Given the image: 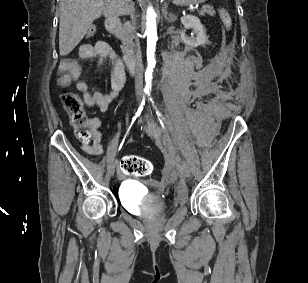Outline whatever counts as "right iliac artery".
<instances>
[{
	"instance_id": "82829eb1",
	"label": "right iliac artery",
	"mask_w": 308,
	"mask_h": 283,
	"mask_svg": "<svg viewBox=\"0 0 308 283\" xmlns=\"http://www.w3.org/2000/svg\"><path fill=\"white\" fill-rule=\"evenodd\" d=\"M145 104V101L143 100L142 102H141V105H140V107L138 108V110H137V112H136V115L133 117V119H132V123H131V125H130V127L132 126V124L134 123V121L136 120V118L138 117V116H140V114H141V112H142V110H143V105ZM126 137V136H125ZM125 137H124V139L122 140V142H121V144H120V146H119V150L121 149V147H122V145H123V143H124V140H125Z\"/></svg>"
}]
</instances>
